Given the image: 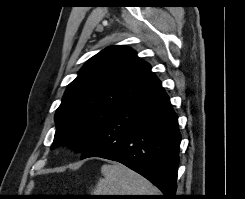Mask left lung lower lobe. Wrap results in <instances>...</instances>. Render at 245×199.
Returning a JSON list of instances; mask_svg holds the SVG:
<instances>
[{"label":"left lung lower lobe","instance_id":"left-lung-lower-lobe-1","mask_svg":"<svg viewBox=\"0 0 245 199\" xmlns=\"http://www.w3.org/2000/svg\"><path fill=\"white\" fill-rule=\"evenodd\" d=\"M178 118L156 77L101 128L81 159L101 157L141 174L174 199L179 145Z\"/></svg>","mask_w":245,"mask_h":199}]
</instances>
